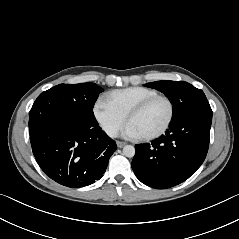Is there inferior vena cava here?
Segmentation results:
<instances>
[{
  "instance_id": "inferior-vena-cava-1",
  "label": "inferior vena cava",
  "mask_w": 239,
  "mask_h": 239,
  "mask_svg": "<svg viewBox=\"0 0 239 239\" xmlns=\"http://www.w3.org/2000/svg\"><path fill=\"white\" fill-rule=\"evenodd\" d=\"M104 130L111 138H116L118 136V129L116 127L108 126L105 127Z\"/></svg>"
}]
</instances>
